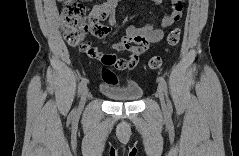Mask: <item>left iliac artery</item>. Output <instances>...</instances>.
I'll return each instance as SVG.
<instances>
[{"mask_svg":"<svg viewBox=\"0 0 239 156\" xmlns=\"http://www.w3.org/2000/svg\"><path fill=\"white\" fill-rule=\"evenodd\" d=\"M157 80L159 82L160 87L162 88L164 93L167 95V83H166L165 79L162 76H160V77H158ZM167 106H168V108H171V102L169 101V99H167Z\"/></svg>","mask_w":239,"mask_h":156,"instance_id":"44dca946","label":"left iliac artery"}]
</instances>
